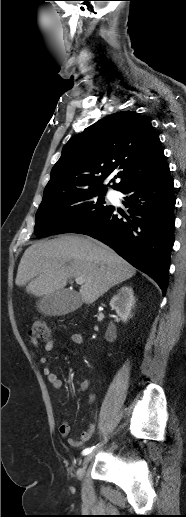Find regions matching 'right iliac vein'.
Wrapping results in <instances>:
<instances>
[{
    "label": "right iliac vein",
    "instance_id": "obj_1",
    "mask_svg": "<svg viewBox=\"0 0 186 517\" xmlns=\"http://www.w3.org/2000/svg\"><path fill=\"white\" fill-rule=\"evenodd\" d=\"M94 457V453H91V454H88L87 456H85L84 460H83V466H87V464L92 460V458ZM83 473V470H81L80 474Z\"/></svg>",
    "mask_w": 186,
    "mask_h": 517
}]
</instances>
